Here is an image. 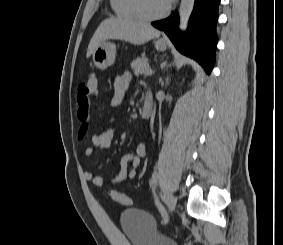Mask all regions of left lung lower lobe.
<instances>
[{
  "mask_svg": "<svg viewBox=\"0 0 283 245\" xmlns=\"http://www.w3.org/2000/svg\"><path fill=\"white\" fill-rule=\"evenodd\" d=\"M220 0H195L189 20V28L180 35L179 17L173 13L170 17L153 22L152 25L163 30L175 47L183 54L195 59L210 74L215 61L217 37L215 26L218 20Z\"/></svg>",
  "mask_w": 283,
  "mask_h": 245,
  "instance_id": "obj_1",
  "label": "left lung lower lobe"
}]
</instances>
